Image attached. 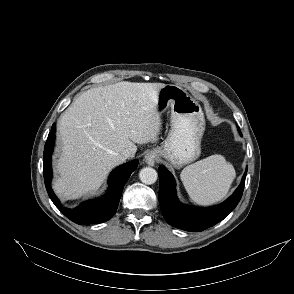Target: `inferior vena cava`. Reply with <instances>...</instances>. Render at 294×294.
Here are the masks:
<instances>
[{
  "label": "inferior vena cava",
  "mask_w": 294,
  "mask_h": 294,
  "mask_svg": "<svg viewBox=\"0 0 294 294\" xmlns=\"http://www.w3.org/2000/svg\"><path fill=\"white\" fill-rule=\"evenodd\" d=\"M121 156L124 158V159H128V158H131L134 156V154L129 151L128 149L124 150L122 153H121Z\"/></svg>",
  "instance_id": "602c4592"
}]
</instances>
